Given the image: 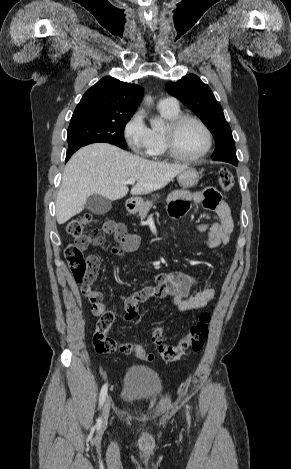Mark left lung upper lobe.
Wrapping results in <instances>:
<instances>
[{
    "label": "left lung upper lobe",
    "instance_id": "left-lung-upper-lobe-1",
    "mask_svg": "<svg viewBox=\"0 0 291 469\" xmlns=\"http://www.w3.org/2000/svg\"><path fill=\"white\" fill-rule=\"evenodd\" d=\"M165 88L170 95L194 111L215 137L216 148L212 159L238 163L231 128L209 86L198 76L189 74L177 82L167 83Z\"/></svg>",
    "mask_w": 291,
    "mask_h": 469
}]
</instances>
